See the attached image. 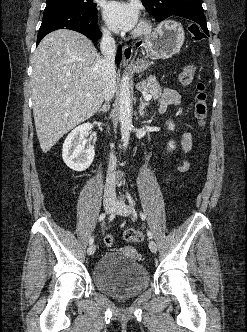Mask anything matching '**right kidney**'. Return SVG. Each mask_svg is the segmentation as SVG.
Here are the masks:
<instances>
[{"label":"right kidney","instance_id":"obj_1","mask_svg":"<svg viewBox=\"0 0 247 332\" xmlns=\"http://www.w3.org/2000/svg\"><path fill=\"white\" fill-rule=\"evenodd\" d=\"M92 128L91 123H84L73 129L64 141L62 158L64 163L74 171H84L93 162L95 156L94 146L89 144L85 148L83 144V139L88 135L95 143L96 133L92 132Z\"/></svg>","mask_w":247,"mask_h":332}]
</instances>
